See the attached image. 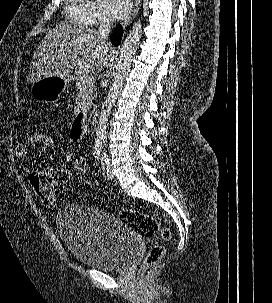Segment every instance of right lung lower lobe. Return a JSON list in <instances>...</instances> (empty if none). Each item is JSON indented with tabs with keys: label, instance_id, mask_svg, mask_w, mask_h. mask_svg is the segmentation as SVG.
Returning a JSON list of instances; mask_svg holds the SVG:
<instances>
[{
	"label": "right lung lower lobe",
	"instance_id": "right-lung-lower-lobe-1",
	"mask_svg": "<svg viewBox=\"0 0 272 303\" xmlns=\"http://www.w3.org/2000/svg\"><path fill=\"white\" fill-rule=\"evenodd\" d=\"M122 26L118 25L114 32L111 35V42L115 45L118 46L121 43V38H122Z\"/></svg>",
	"mask_w": 272,
	"mask_h": 303
}]
</instances>
